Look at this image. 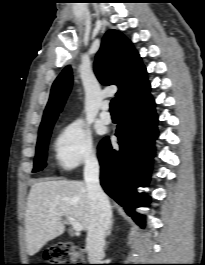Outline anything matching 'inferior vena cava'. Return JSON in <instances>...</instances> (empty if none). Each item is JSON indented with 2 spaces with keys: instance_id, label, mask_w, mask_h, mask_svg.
Listing matches in <instances>:
<instances>
[{
  "instance_id": "602c4592",
  "label": "inferior vena cava",
  "mask_w": 205,
  "mask_h": 265,
  "mask_svg": "<svg viewBox=\"0 0 205 265\" xmlns=\"http://www.w3.org/2000/svg\"><path fill=\"white\" fill-rule=\"evenodd\" d=\"M84 180L87 186L91 219L86 238L89 261L97 264L104 256L105 235L111 223V206L99 183V163L96 156L85 162Z\"/></svg>"
}]
</instances>
